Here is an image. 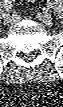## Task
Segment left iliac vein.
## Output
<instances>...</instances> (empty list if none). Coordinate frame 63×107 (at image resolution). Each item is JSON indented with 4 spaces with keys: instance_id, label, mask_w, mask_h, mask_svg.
<instances>
[{
    "instance_id": "4c4485c4",
    "label": "left iliac vein",
    "mask_w": 63,
    "mask_h": 107,
    "mask_svg": "<svg viewBox=\"0 0 63 107\" xmlns=\"http://www.w3.org/2000/svg\"><path fill=\"white\" fill-rule=\"evenodd\" d=\"M37 18L41 20L46 25H52L53 24V18L50 14H37Z\"/></svg>"
}]
</instances>
